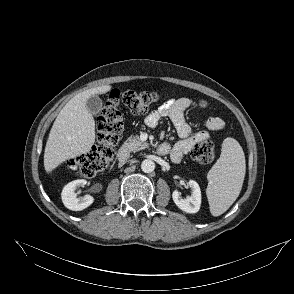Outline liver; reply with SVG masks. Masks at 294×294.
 I'll list each match as a JSON object with an SVG mask.
<instances>
[{
	"label": "liver",
	"mask_w": 294,
	"mask_h": 294,
	"mask_svg": "<svg viewBox=\"0 0 294 294\" xmlns=\"http://www.w3.org/2000/svg\"><path fill=\"white\" fill-rule=\"evenodd\" d=\"M110 90V85L88 89L74 96L62 108L53 123L44 151L47 173L66 160L91 150L95 142V121L86 108V102L91 96Z\"/></svg>",
	"instance_id": "obj_1"
}]
</instances>
